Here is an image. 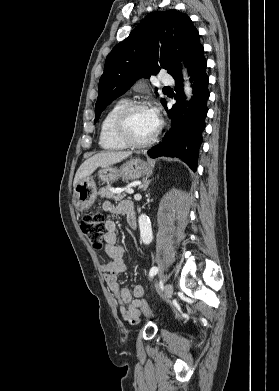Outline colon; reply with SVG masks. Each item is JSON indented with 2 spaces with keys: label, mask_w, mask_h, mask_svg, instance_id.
Returning <instances> with one entry per match:
<instances>
[{
  "label": "colon",
  "mask_w": 279,
  "mask_h": 391,
  "mask_svg": "<svg viewBox=\"0 0 279 391\" xmlns=\"http://www.w3.org/2000/svg\"><path fill=\"white\" fill-rule=\"evenodd\" d=\"M81 230L93 248H102L106 234V222L101 212L98 210L87 212L82 218ZM138 307L144 314L153 315L143 298L139 299Z\"/></svg>",
  "instance_id": "obj_1"
}]
</instances>
